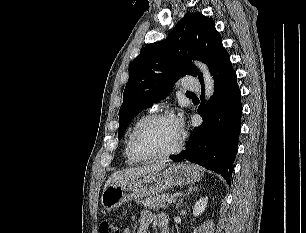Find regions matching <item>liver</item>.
<instances>
[{
    "label": "liver",
    "mask_w": 306,
    "mask_h": 233,
    "mask_svg": "<svg viewBox=\"0 0 306 233\" xmlns=\"http://www.w3.org/2000/svg\"><path fill=\"white\" fill-rule=\"evenodd\" d=\"M166 163L167 161L163 160V161L157 162L149 166L129 168V169L114 172L106 181L104 190L111 184L116 183L118 181L136 178V177H139V176L151 173V172L160 171L167 166Z\"/></svg>",
    "instance_id": "1"
}]
</instances>
